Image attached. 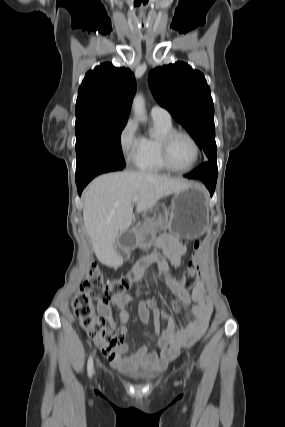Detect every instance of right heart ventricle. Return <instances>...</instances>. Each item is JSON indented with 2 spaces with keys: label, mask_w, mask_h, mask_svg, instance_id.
<instances>
[{
  "label": "right heart ventricle",
  "mask_w": 285,
  "mask_h": 427,
  "mask_svg": "<svg viewBox=\"0 0 285 427\" xmlns=\"http://www.w3.org/2000/svg\"><path fill=\"white\" fill-rule=\"evenodd\" d=\"M156 132L141 137V144L135 158L136 167L144 172L161 173L167 169L161 162L159 142L163 134L174 129L172 122L153 119Z\"/></svg>",
  "instance_id": "obj_1"
}]
</instances>
